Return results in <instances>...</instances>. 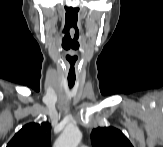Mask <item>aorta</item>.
I'll return each mask as SVG.
<instances>
[{
  "mask_svg": "<svg viewBox=\"0 0 163 147\" xmlns=\"http://www.w3.org/2000/svg\"><path fill=\"white\" fill-rule=\"evenodd\" d=\"M82 138L76 127H67L55 142V147H77Z\"/></svg>",
  "mask_w": 163,
  "mask_h": 147,
  "instance_id": "obj_1",
  "label": "aorta"
}]
</instances>
